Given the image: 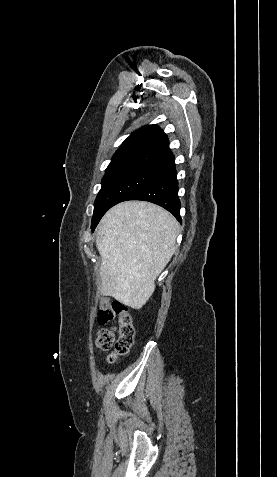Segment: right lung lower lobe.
Instances as JSON below:
<instances>
[{
  "mask_svg": "<svg viewBox=\"0 0 277 477\" xmlns=\"http://www.w3.org/2000/svg\"><path fill=\"white\" fill-rule=\"evenodd\" d=\"M177 172L174 159L160 168L155 177L129 200H143L162 206L181 221V203L178 193Z\"/></svg>",
  "mask_w": 277,
  "mask_h": 477,
  "instance_id": "obj_1",
  "label": "right lung lower lobe"
}]
</instances>
